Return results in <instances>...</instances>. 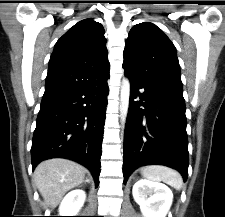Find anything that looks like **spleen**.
Masks as SVG:
<instances>
[{
  "label": "spleen",
  "instance_id": "3e777b00",
  "mask_svg": "<svg viewBox=\"0 0 225 217\" xmlns=\"http://www.w3.org/2000/svg\"><path fill=\"white\" fill-rule=\"evenodd\" d=\"M144 178L152 181H163L168 185L180 190L183 185L182 176L172 168L163 165H149L141 169Z\"/></svg>",
  "mask_w": 225,
  "mask_h": 217
}]
</instances>
